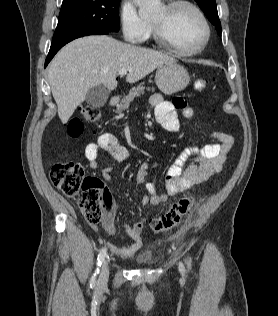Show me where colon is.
Segmentation results:
<instances>
[{"instance_id": "5ec220e1", "label": "colon", "mask_w": 278, "mask_h": 316, "mask_svg": "<svg viewBox=\"0 0 278 316\" xmlns=\"http://www.w3.org/2000/svg\"><path fill=\"white\" fill-rule=\"evenodd\" d=\"M206 81L199 79L194 83L198 91L205 89ZM83 119L96 122L100 118V111L95 108L80 109ZM84 129L80 118H73L68 123V133L78 137ZM50 181L65 196L77 201L79 208L90 224H98L103 216L104 188L101 181L95 177L86 176L81 164L77 162H56L49 173ZM194 206V199L185 196L173 203L163 214L150 221V228L154 233H161L176 227Z\"/></svg>"}]
</instances>
